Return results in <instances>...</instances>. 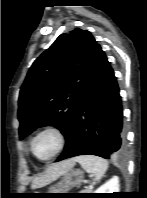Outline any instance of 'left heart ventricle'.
Segmentation results:
<instances>
[{
	"instance_id": "left-heart-ventricle-1",
	"label": "left heart ventricle",
	"mask_w": 147,
	"mask_h": 198,
	"mask_svg": "<svg viewBox=\"0 0 147 198\" xmlns=\"http://www.w3.org/2000/svg\"><path fill=\"white\" fill-rule=\"evenodd\" d=\"M58 140L52 133L40 135L34 142L35 154L40 158L50 156L57 148Z\"/></svg>"
}]
</instances>
